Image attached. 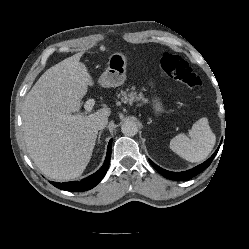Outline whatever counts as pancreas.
Returning a JSON list of instances; mask_svg holds the SVG:
<instances>
[{
    "label": "pancreas",
    "instance_id": "obj_1",
    "mask_svg": "<svg viewBox=\"0 0 249 249\" xmlns=\"http://www.w3.org/2000/svg\"><path fill=\"white\" fill-rule=\"evenodd\" d=\"M117 97L120 98V100L123 103H129L132 104L134 102H143L146 103L148 100L144 97L142 91L139 93L135 91V87H131V91L127 89L126 91L121 90L120 93L117 94Z\"/></svg>",
    "mask_w": 249,
    "mask_h": 249
}]
</instances>
